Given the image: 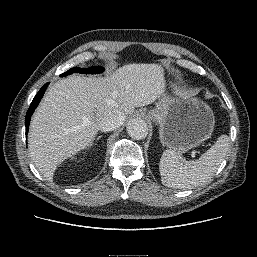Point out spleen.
I'll return each mask as SVG.
<instances>
[{"label":"spleen","mask_w":257,"mask_h":257,"mask_svg":"<svg viewBox=\"0 0 257 257\" xmlns=\"http://www.w3.org/2000/svg\"><path fill=\"white\" fill-rule=\"evenodd\" d=\"M229 146L230 138L221 135L198 160L185 162L178 152L165 150L159 163L162 183L167 187L190 189L207 182L224 160Z\"/></svg>","instance_id":"spleen-1"}]
</instances>
